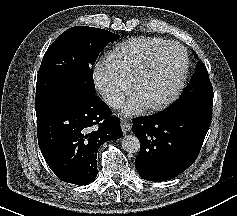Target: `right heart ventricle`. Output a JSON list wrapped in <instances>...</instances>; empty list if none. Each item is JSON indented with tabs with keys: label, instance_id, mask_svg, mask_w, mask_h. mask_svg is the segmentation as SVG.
I'll use <instances>...</instances> for the list:
<instances>
[{
	"label": "right heart ventricle",
	"instance_id": "obj_1",
	"mask_svg": "<svg viewBox=\"0 0 237 216\" xmlns=\"http://www.w3.org/2000/svg\"><path fill=\"white\" fill-rule=\"evenodd\" d=\"M170 48L161 36H140L119 44L108 56V67L116 85L124 86L133 80L134 72L151 56Z\"/></svg>",
	"mask_w": 237,
	"mask_h": 216
}]
</instances>
